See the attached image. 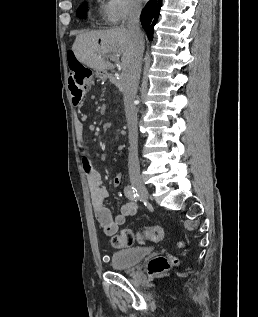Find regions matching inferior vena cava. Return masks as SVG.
I'll use <instances>...</instances> for the list:
<instances>
[{
	"label": "inferior vena cava",
	"instance_id": "602c4592",
	"mask_svg": "<svg viewBox=\"0 0 258 317\" xmlns=\"http://www.w3.org/2000/svg\"><path fill=\"white\" fill-rule=\"evenodd\" d=\"M141 8L139 4L131 2L129 6L128 14V32L131 34L134 54L130 60V66L126 70V76L124 80V98H125V114L127 118L128 126V138H129V154H128V169L129 177L132 181H137L141 178L140 167L138 161V150H137V112L134 104V98L136 96L142 56L144 52V38L139 26V16Z\"/></svg>",
	"mask_w": 258,
	"mask_h": 317
}]
</instances>
